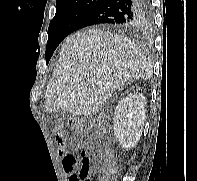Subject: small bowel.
Returning <instances> with one entry per match:
<instances>
[{
    "label": "small bowel",
    "instance_id": "c3829d8e",
    "mask_svg": "<svg viewBox=\"0 0 197 181\" xmlns=\"http://www.w3.org/2000/svg\"><path fill=\"white\" fill-rule=\"evenodd\" d=\"M61 147L58 151L59 157L62 159L63 168L68 175V181H78V176L76 175L77 158L74 154L69 153L64 146V139L58 140ZM85 150L82 151V153Z\"/></svg>",
    "mask_w": 197,
    "mask_h": 181
}]
</instances>
